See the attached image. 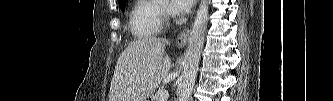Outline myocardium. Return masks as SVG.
I'll list each match as a JSON object with an SVG mask.
<instances>
[{"instance_id":"myocardium-1","label":"myocardium","mask_w":333,"mask_h":101,"mask_svg":"<svg viewBox=\"0 0 333 101\" xmlns=\"http://www.w3.org/2000/svg\"><path fill=\"white\" fill-rule=\"evenodd\" d=\"M160 10H161V13H163L164 15H166V6L164 4L160 5Z\"/></svg>"}]
</instances>
